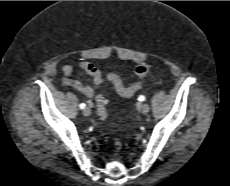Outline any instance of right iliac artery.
Listing matches in <instances>:
<instances>
[{
    "instance_id": "right-iliac-artery-1",
    "label": "right iliac artery",
    "mask_w": 230,
    "mask_h": 186,
    "mask_svg": "<svg viewBox=\"0 0 230 186\" xmlns=\"http://www.w3.org/2000/svg\"><path fill=\"white\" fill-rule=\"evenodd\" d=\"M80 108H81V109H84V108H85V104H84V103H81V104H80Z\"/></svg>"
}]
</instances>
